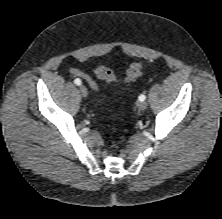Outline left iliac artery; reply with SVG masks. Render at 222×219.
I'll return each mask as SVG.
<instances>
[{
	"mask_svg": "<svg viewBox=\"0 0 222 219\" xmlns=\"http://www.w3.org/2000/svg\"><path fill=\"white\" fill-rule=\"evenodd\" d=\"M146 99V96L144 95V94H141L140 96H139V100L140 101H144Z\"/></svg>",
	"mask_w": 222,
	"mask_h": 219,
	"instance_id": "left-iliac-artery-1",
	"label": "left iliac artery"
}]
</instances>
